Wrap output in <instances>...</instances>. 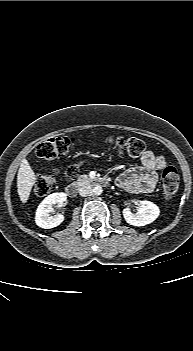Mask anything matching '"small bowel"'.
<instances>
[{
  "mask_svg": "<svg viewBox=\"0 0 193 351\" xmlns=\"http://www.w3.org/2000/svg\"><path fill=\"white\" fill-rule=\"evenodd\" d=\"M166 165L165 158L146 151L141 158V165L126 170L118 184L133 194H148L154 191L158 176L157 171Z\"/></svg>",
  "mask_w": 193,
  "mask_h": 351,
  "instance_id": "small-bowel-1",
  "label": "small bowel"
}]
</instances>
